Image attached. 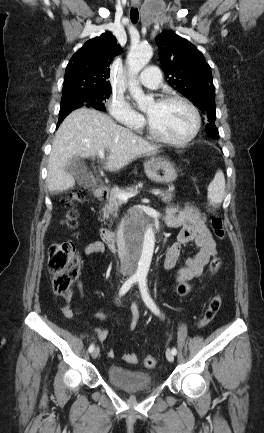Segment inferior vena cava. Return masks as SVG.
Listing matches in <instances>:
<instances>
[{"label": "inferior vena cava", "mask_w": 264, "mask_h": 433, "mask_svg": "<svg viewBox=\"0 0 264 433\" xmlns=\"http://www.w3.org/2000/svg\"><path fill=\"white\" fill-rule=\"evenodd\" d=\"M134 252H139V251H134ZM118 257H121V260H124L123 252H118Z\"/></svg>", "instance_id": "obj_1"}]
</instances>
